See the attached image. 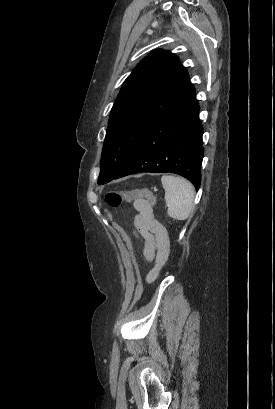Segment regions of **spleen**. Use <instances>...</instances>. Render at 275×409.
Here are the masks:
<instances>
[{
  "label": "spleen",
  "instance_id": "1",
  "mask_svg": "<svg viewBox=\"0 0 275 409\" xmlns=\"http://www.w3.org/2000/svg\"><path fill=\"white\" fill-rule=\"evenodd\" d=\"M163 188H165V202L167 213L172 219L185 221L188 219L194 205V186L182 176H167L163 174Z\"/></svg>",
  "mask_w": 275,
  "mask_h": 409
}]
</instances>
